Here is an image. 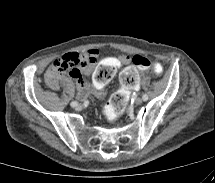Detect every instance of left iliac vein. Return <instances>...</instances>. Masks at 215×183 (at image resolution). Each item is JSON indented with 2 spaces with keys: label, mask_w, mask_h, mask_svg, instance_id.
Here are the masks:
<instances>
[{
  "label": "left iliac vein",
  "mask_w": 215,
  "mask_h": 183,
  "mask_svg": "<svg viewBox=\"0 0 215 183\" xmlns=\"http://www.w3.org/2000/svg\"><path fill=\"white\" fill-rule=\"evenodd\" d=\"M142 101H143V99H141V98H136L135 100H134V102L136 103V104H141L142 103Z\"/></svg>",
  "instance_id": "4c4485c4"
}]
</instances>
